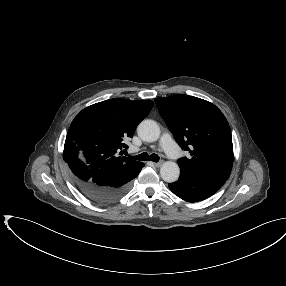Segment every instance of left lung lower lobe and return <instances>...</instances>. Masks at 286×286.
Here are the masks:
<instances>
[{
    "mask_svg": "<svg viewBox=\"0 0 286 286\" xmlns=\"http://www.w3.org/2000/svg\"><path fill=\"white\" fill-rule=\"evenodd\" d=\"M222 186L217 182L194 175L185 170H180L178 181L169 184L170 190L175 195L189 202L205 200Z\"/></svg>",
    "mask_w": 286,
    "mask_h": 286,
    "instance_id": "0a47b994",
    "label": "left lung lower lobe"
}]
</instances>
